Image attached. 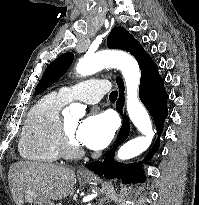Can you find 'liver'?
<instances>
[{"instance_id": "liver-1", "label": "liver", "mask_w": 199, "mask_h": 205, "mask_svg": "<svg viewBox=\"0 0 199 205\" xmlns=\"http://www.w3.org/2000/svg\"><path fill=\"white\" fill-rule=\"evenodd\" d=\"M75 172L69 168L42 162H16L8 181L16 205H22L24 192L33 190L48 200H61L74 193Z\"/></svg>"}]
</instances>
